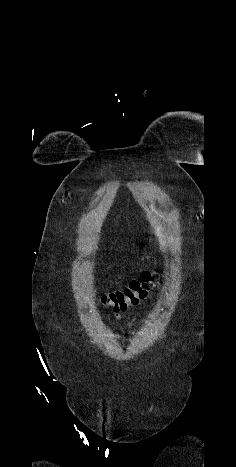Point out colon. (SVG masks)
<instances>
[{
	"instance_id": "obj_1",
	"label": "colon",
	"mask_w": 236,
	"mask_h": 467,
	"mask_svg": "<svg viewBox=\"0 0 236 467\" xmlns=\"http://www.w3.org/2000/svg\"><path fill=\"white\" fill-rule=\"evenodd\" d=\"M151 277V271H144L140 279L132 280L125 288L103 295L102 302L114 312L124 311L128 305L137 304L145 298Z\"/></svg>"
}]
</instances>
